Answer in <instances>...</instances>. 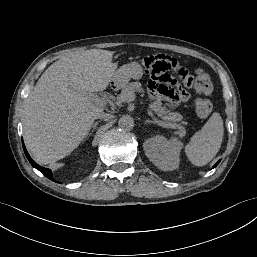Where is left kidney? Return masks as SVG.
Wrapping results in <instances>:
<instances>
[{"label":"left kidney","instance_id":"5707ae66","mask_svg":"<svg viewBox=\"0 0 257 257\" xmlns=\"http://www.w3.org/2000/svg\"><path fill=\"white\" fill-rule=\"evenodd\" d=\"M182 147V142L177 138L167 139L163 136H155L143 144L146 156L163 171H172L179 167Z\"/></svg>","mask_w":257,"mask_h":257}]
</instances>
